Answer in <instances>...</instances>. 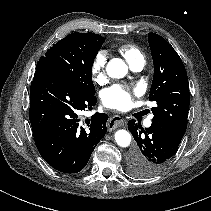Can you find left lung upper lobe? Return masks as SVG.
Wrapping results in <instances>:
<instances>
[{"label":"left lung upper lobe","instance_id":"left-lung-upper-lobe-1","mask_svg":"<svg viewBox=\"0 0 211 211\" xmlns=\"http://www.w3.org/2000/svg\"><path fill=\"white\" fill-rule=\"evenodd\" d=\"M154 64L149 101L157 125L179 140L187 128L190 104L189 84L184 64L173 47L161 36L148 34Z\"/></svg>","mask_w":211,"mask_h":211}]
</instances>
